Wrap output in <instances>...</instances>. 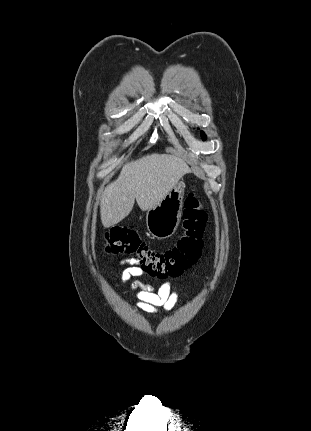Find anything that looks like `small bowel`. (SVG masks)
Listing matches in <instances>:
<instances>
[{"label": "small bowel", "instance_id": "small-bowel-1", "mask_svg": "<svg viewBox=\"0 0 311 431\" xmlns=\"http://www.w3.org/2000/svg\"><path fill=\"white\" fill-rule=\"evenodd\" d=\"M119 265H127L120 275L123 284L129 282L131 278L145 273L135 258L124 259ZM130 287L137 291V306L148 313H157L160 309L170 311L178 300V292L172 288L168 281L162 283L157 289L137 281L131 283Z\"/></svg>", "mask_w": 311, "mask_h": 431}]
</instances>
